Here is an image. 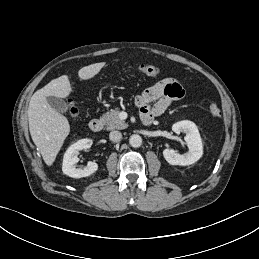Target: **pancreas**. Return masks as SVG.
<instances>
[{
	"instance_id": "obj_1",
	"label": "pancreas",
	"mask_w": 259,
	"mask_h": 259,
	"mask_svg": "<svg viewBox=\"0 0 259 259\" xmlns=\"http://www.w3.org/2000/svg\"><path fill=\"white\" fill-rule=\"evenodd\" d=\"M119 114V108H115L101 117L108 130L125 129L128 126L124 120L120 119Z\"/></svg>"
}]
</instances>
